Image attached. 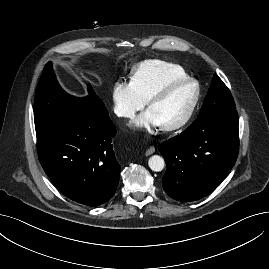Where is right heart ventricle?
<instances>
[{
	"label": "right heart ventricle",
	"mask_w": 269,
	"mask_h": 269,
	"mask_svg": "<svg viewBox=\"0 0 269 269\" xmlns=\"http://www.w3.org/2000/svg\"><path fill=\"white\" fill-rule=\"evenodd\" d=\"M185 78H188V74L181 66L153 59L136 66L130 82L146 102L152 94L168 83Z\"/></svg>",
	"instance_id": "1"
}]
</instances>
